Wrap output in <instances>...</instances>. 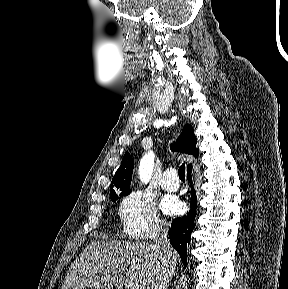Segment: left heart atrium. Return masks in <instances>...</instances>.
<instances>
[{"label":"left heart atrium","instance_id":"39dd6f15","mask_svg":"<svg viewBox=\"0 0 288 289\" xmlns=\"http://www.w3.org/2000/svg\"><path fill=\"white\" fill-rule=\"evenodd\" d=\"M162 210L167 214H175L181 210V203L175 197H166L161 204Z\"/></svg>","mask_w":288,"mask_h":289}]
</instances>
